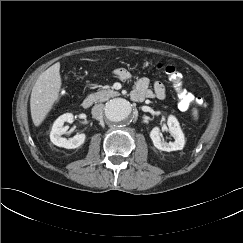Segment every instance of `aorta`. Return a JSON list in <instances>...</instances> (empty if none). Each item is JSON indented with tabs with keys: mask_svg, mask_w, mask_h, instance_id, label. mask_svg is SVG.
<instances>
[{
	"mask_svg": "<svg viewBox=\"0 0 243 243\" xmlns=\"http://www.w3.org/2000/svg\"><path fill=\"white\" fill-rule=\"evenodd\" d=\"M131 105L125 99H114L108 102L104 112L108 120L115 123H121L128 119L131 114Z\"/></svg>",
	"mask_w": 243,
	"mask_h": 243,
	"instance_id": "1",
	"label": "aorta"
}]
</instances>
